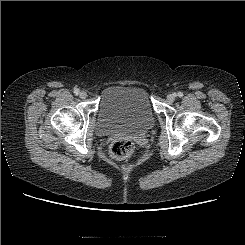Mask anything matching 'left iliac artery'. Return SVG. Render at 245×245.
<instances>
[{
    "instance_id": "1",
    "label": "left iliac artery",
    "mask_w": 245,
    "mask_h": 245,
    "mask_svg": "<svg viewBox=\"0 0 245 245\" xmlns=\"http://www.w3.org/2000/svg\"><path fill=\"white\" fill-rule=\"evenodd\" d=\"M178 96L179 97H182L183 96V93L182 92H178Z\"/></svg>"
}]
</instances>
